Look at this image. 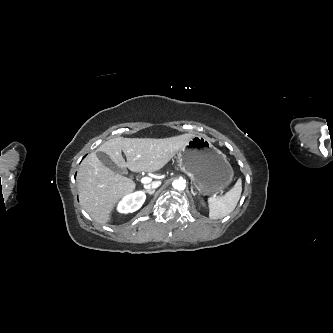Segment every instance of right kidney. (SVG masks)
I'll use <instances>...</instances> for the list:
<instances>
[{
    "label": "right kidney",
    "mask_w": 333,
    "mask_h": 333,
    "mask_svg": "<svg viewBox=\"0 0 333 333\" xmlns=\"http://www.w3.org/2000/svg\"><path fill=\"white\" fill-rule=\"evenodd\" d=\"M146 200V195L142 191H137L126 195L118 205L120 213H133L141 208Z\"/></svg>",
    "instance_id": "obj_1"
}]
</instances>
